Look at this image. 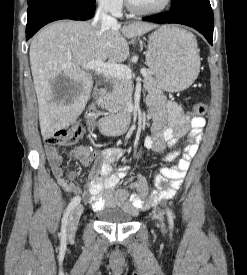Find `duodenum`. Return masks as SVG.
<instances>
[{
	"label": "duodenum",
	"instance_id": "obj_1",
	"mask_svg": "<svg viewBox=\"0 0 247 275\" xmlns=\"http://www.w3.org/2000/svg\"><path fill=\"white\" fill-rule=\"evenodd\" d=\"M106 93L99 90L93 99L88 115L93 119L103 134L108 136H117L126 132L133 121L132 112H124L118 115H109L101 117L98 115V109L105 100Z\"/></svg>",
	"mask_w": 247,
	"mask_h": 275
}]
</instances>
